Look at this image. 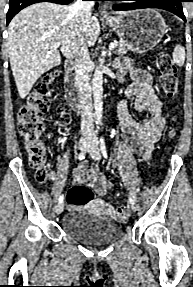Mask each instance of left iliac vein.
<instances>
[{
    "label": "left iliac vein",
    "mask_w": 193,
    "mask_h": 287,
    "mask_svg": "<svg viewBox=\"0 0 193 287\" xmlns=\"http://www.w3.org/2000/svg\"><path fill=\"white\" fill-rule=\"evenodd\" d=\"M88 153L91 156V158L94 159L95 161L101 160V153L98 148V140L96 135L92 136L91 138V143L88 147ZM131 208L133 211H136V206L134 204H131Z\"/></svg>",
    "instance_id": "obj_1"
}]
</instances>
